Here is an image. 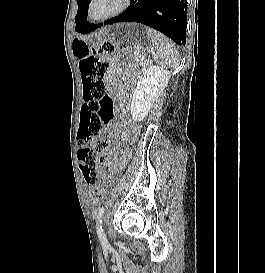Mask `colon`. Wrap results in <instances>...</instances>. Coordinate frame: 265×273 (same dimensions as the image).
Returning <instances> with one entry per match:
<instances>
[{
    "label": "colon",
    "instance_id": "1",
    "mask_svg": "<svg viewBox=\"0 0 265 273\" xmlns=\"http://www.w3.org/2000/svg\"><path fill=\"white\" fill-rule=\"evenodd\" d=\"M114 51L115 47L109 41L99 48V52L103 54ZM107 69L108 65L93 55L84 56L80 60L84 104L77 134L81 140L78 145L83 146L78 151V159L84 180L93 187L89 195L91 201H96L101 196V185L107 169L104 163L99 162L98 153L107 148L108 142L97 137L114 116L113 102L107 95L104 79Z\"/></svg>",
    "mask_w": 265,
    "mask_h": 273
}]
</instances>
